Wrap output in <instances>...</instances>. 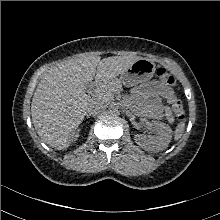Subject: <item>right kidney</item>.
Returning a JSON list of instances; mask_svg holds the SVG:
<instances>
[{
    "label": "right kidney",
    "instance_id": "1",
    "mask_svg": "<svg viewBox=\"0 0 220 220\" xmlns=\"http://www.w3.org/2000/svg\"><path fill=\"white\" fill-rule=\"evenodd\" d=\"M80 130H81V129L78 128L76 133H75V132H72V135H71V140H72V141H76V140H77V138L79 137Z\"/></svg>",
    "mask_w": 220,
    "mask_h": 220
}]
</instances>
